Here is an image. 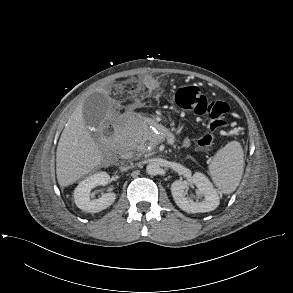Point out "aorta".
I'll list each match as a JSON object with an SVG mask.
<instances>
[{
    "label": "aorta",
    "mask_w": 293,
    "mask_h": 293,
    "mask_svg": "<svg viewBox=\"0 0 293 293\" xmlns=\"http://www.w3.org/2000/svg\"><path fill=\"white\" fill-rule=\"evenodd\" d=\"M160 170L161 168L159 164L156 162H151L146 167V172L148 175H153V176L158 175L160 173Z\"/></svg>",
    "instance_id": "obj_1"
}]
</instances>
